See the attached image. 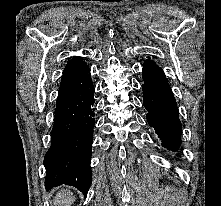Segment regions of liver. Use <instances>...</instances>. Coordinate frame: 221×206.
I'll return each instance as SVG.
<instances>
[{
  "label": "liver",
  "mask_w": 221,
  "mask_h": 206,
  "mask_svg": "<svg viewBox=\"0 0 221 206\" xmlns=\"http://www.w3.org/2000/svg\"><path fill=\"white\" fill-rule=\"evenodd\" d=\"M75 201L73 193L68 189H62L56 196L54 204L57 206H70Z\"/></svg>",
  "instance_id": "1"
}]
</instances>
